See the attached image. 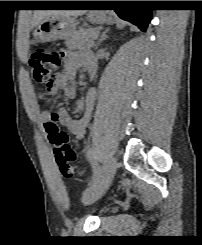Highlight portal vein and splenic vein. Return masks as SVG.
<instances>
[{"mask_svg": "<svg viewBox=\"0 0 202 245\" xmlns=\"http://www.w3.org/2000/svg\"><path fill=\"white\" fill-rule=\"evenodd\" d=\"M92 45H94V41H92V43H91Z\"/></svg>", "mask_w": 202, "mask_h": 245, "instance_id": "obj_1", "label": "portal vein and splenic vein"}]
</instances>
